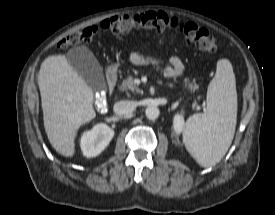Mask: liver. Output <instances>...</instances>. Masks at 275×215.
<instances>
[{"instance_id": "6515ba94", "label": "liver", "mask_w": 275, "mask_h": 215, "mask_svg": "<svg viewBox=\"0 0 275 215\" xmlns=\"http://www.w3.org/2000/svg\"><path fill=\"white\" fill-rule=\"evenodd\" d=\"M38 85L49 142L62 156L72 157L77 130L96 116L93 91L64 55L44 60Z\"/></svg>"}]
</instances>
